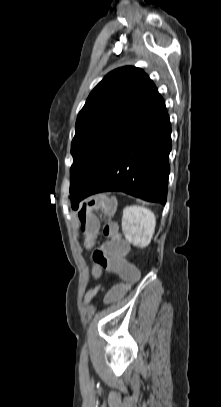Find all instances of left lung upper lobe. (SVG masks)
I'll return each instance as SVG.
<instances>
[{
  "mask_svg": "<svg viewBox=\"0 0 221 407\" xmlns=\"http://www.w3.org/2000/svg\"><path fill=\"white\" fill-rule=\"evenodd\" d=\"M156 90L142 69L122 67L107 74L79 112L71 144V200L99 170L134 115Z\"/></svg>",
  "mask_w": 221,
  "mask_h": 407,
  "instance_id": "left-lung-upper-lobe-1",
  "label": "left lung upper lobe"
}]
</instances>
